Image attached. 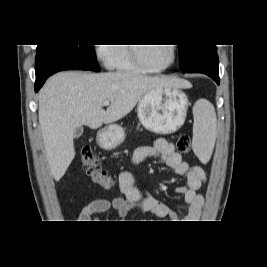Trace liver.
I'll list each match as a JSON object with an SVG mask.
<instances>
[{"instance_id":"6515ba94","label":"liver","mask_w":267,"mask_h":267,"mask_svg":"<svg viewBox=\"0 0 267 267\" xmlns=\"http://www.w3.org/2000/svg\"><path fill=\"white\" fill-rule=\"evenodd\" d=\"M191 88L183 79L134 73L66 71L53 75L39 92V123L52 176L59 181L75 157L76 128L111 124L130 113L150 90ZM109 101L106 111L103 103Z\"/></svg>"}]
</instances>
